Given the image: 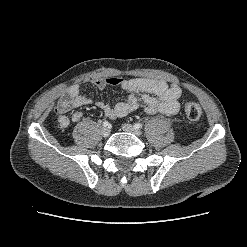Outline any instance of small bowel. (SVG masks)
<instances>
[{"label": "small bowel", "instance_id": "c3829d8e", "mask_svg": "<svg viewBox=\"0 0 247 247\" xmlns=\"http://www.w3.org/2000/svg\"><path fill=\"white\" fill-rule=\"evenodd\" d=\"M92 83L98 89L107 86H117L127 92L124 100L114 106L101 101L94 100L82 94L78 84L71 85L59 98L56 104L57 123L60 127H67L70 122H78L82 118L80 111H75L69 118L66 113L74 108L94 104L101 109L105 116L115 119L127 116L139 108V97L144 103V110L148 114H162L172 116L178 113L180 105L181 88L174 83L149 78L123 79L110 77L95 79Z\"/></svg>", "mask_w": 247, "mask_h": 247}]
</instances>
